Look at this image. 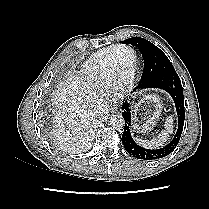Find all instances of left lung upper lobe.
<instances>
[{
	"label": "left lung upper lobe",
	"instance_id": "1",
	"mask_svg": "<svg viewBox=\"0 0 209 209\" xmlns=\"http://www.w3.org/2000/svg\"><path fill=\"white\" fill-rule=\"evenodd\" d=\"M123 43L138 47L142 53L144 70L140 84H147L162 74L175 71L173 65L163 51L148 40L140 37H133L124 40Z\"/></svg>",
	"mask_w": 209,
	"mask_h": 209
}]
</instances>
